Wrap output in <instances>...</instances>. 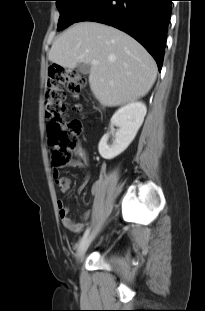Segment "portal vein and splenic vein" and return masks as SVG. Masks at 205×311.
I'll use <instances>...</instances> for the list:
<instances>
[{
    "label": "portal vein and splenic vein",
    "mask_w": 205,
    "mask_h": 311,
    "mask_svg": "<svg viewBox=\"0 0 205 311\" xmlns=\"http://www.w3.org/2000/svg\"><path fill=\"white\" fill-rule=\"evenodd\" d=\"M98 63H99L98 60H93V61H92V64H93V65H97Z\"/></svg>",
    "instance_id": "portal-vein-and-splenic-vein-1"
}]
</instances>
